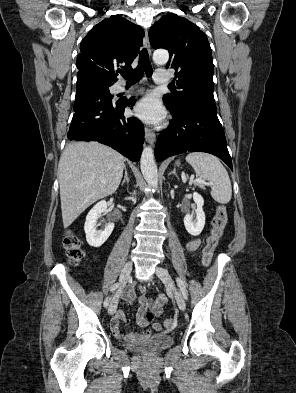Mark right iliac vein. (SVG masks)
Returning <instances> with one entry per match:
<instances>
[{"label":"right iliac vein","mask_w":296,"mask_h":393,"mask_svg":"<svg viewBox=\"0 0 296 393\" xmlns=\"http://www.w3.org/2000/svg\"><path fill=\"white\" fill-rule=\"evenodd\" d=\"M132 271V262L128 261L125 266L122 269V272L120 274V278H119V282H120V288L119 291L117 292V294L114 296V298L112 299L109 309H108V313L110 315H113L117 309V305H118V299H119V293L121 291V289L124 287V285L126 284L130 273Z\"/></svg>","instance_id":"63e3f726"}]
</instances>
